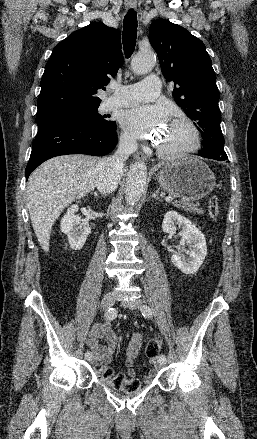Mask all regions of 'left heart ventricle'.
<instances>
[{
	"mask_svg": "<svg viewBox=\"0 0 257 439\" xmlns=\"http://www.w3.org/2000/svg\"><path fill=\"white\" fill-rule=\"evenodd\" d=\"M192 145V135L188 128L168 124L159 141V146L167 150H181Z\"/></svg>",
	"mask_w": 257,
	"mask_h": 439,
	"instance_id": "obj_1",
	"label": "left heart ventricle"
}]
</instances>
